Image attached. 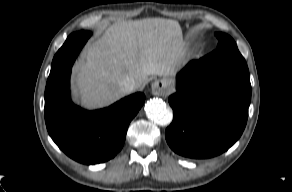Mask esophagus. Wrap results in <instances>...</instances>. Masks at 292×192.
I'll list each match as a JSON object with an SVG mask.
<instances>
[{
	"mask_svg": "<svg viewBox=\"0 0 292 192\" xmlns=\"http://www.w3.org/2000/svg\"><path fill=\"white\" fill-rule=\"evenodd\" d=\"M166 87H167V82L165 80L163 79L155 80L151 84L152 94L161 96L162 94H164Z\"/></svg>",
	"mask_w": 292,
	"mask_h": 192,
	"instance_id": "1",
	"label": "esophagus"
}]
</instances>
